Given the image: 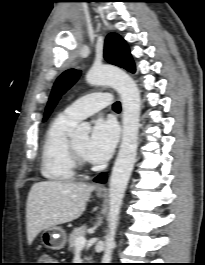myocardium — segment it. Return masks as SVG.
Segmentation results:
<instances>
[{
	"mask_svg": "<svg viewBox=\"0 0 205 265\" xmlns=\"http://www.w3.org/2000/svg\"><path fill=\"white\" fill-rule=\"evenodd\" d=\"M70 151L75 166L83 168L86 166L84 155L76 148L73 140H70Z\"/></svg>",
	"mask_w": 205,
	"mask_h": 265,
	"instance_id": "1",
	"label": "myocardium"
}]
</instances>
